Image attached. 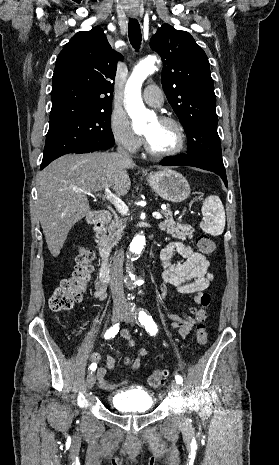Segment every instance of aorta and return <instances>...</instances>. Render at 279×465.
<instances>
[{"instance_id":"762f6f07","label":"aorta","mask_w":279,"mask_h":465,"mask_svg":"<svg viewBox=\"0 0 279 465\" xmlns=\"http://www.w3.org/2000/svg\"><path fill=\"white\" fill-rule=\"evenodd\" d=\"M156 58L153 56L142 60L133 70L129 77L126 87V110L133 121L135 131L141 130L151 113L145 108L141 98V88L145 79L154 72ZM145 245V237L141 234L136 235L129 248L131 257H136L141 253Z\"/></svg>"}]
</instances>
